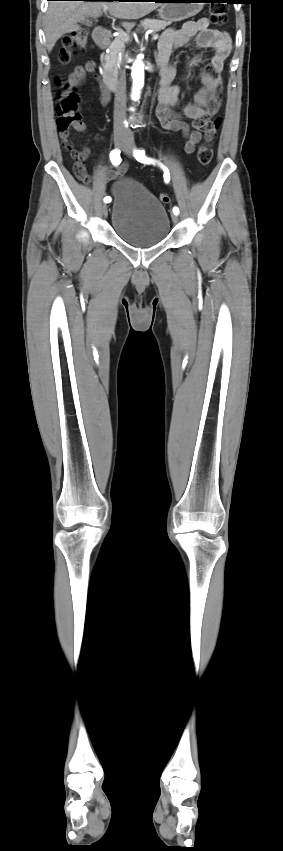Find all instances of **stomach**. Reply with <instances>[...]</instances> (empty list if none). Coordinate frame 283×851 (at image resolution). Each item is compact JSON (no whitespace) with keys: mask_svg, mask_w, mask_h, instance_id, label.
<instances>
[{"mask_svg":"<svg viewBox=\"0 0 283 851\" xmlns=\"http://www.w3.org/2000/svg\"><path fill=\"white\" fill-rule=\"evenodd\" d=\"M202 0H169L158 10L160 18L177 22L195 16L203 8Z\"/></svg>","mask_w":283,"mask_h":851,"instance_id":"obj_1","label":"stomach"}]
</instances>
